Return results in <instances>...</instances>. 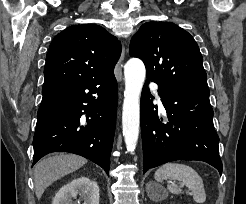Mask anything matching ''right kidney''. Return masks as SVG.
<instances>
[{
    "instance_id": "1",
    "label": "right kidney",
    "mask_w": 246,
    "mask_h": 204,
    "mask_svg": "<svg viewBox=\"0 0 246 204\" xmlns=\"http://www.w3.org/2000/svg\"><path fill=\"white\" fill-rule=\"evenodd\" d=\"M80 197L83 204H99V187L88 177H77L56 193L52 204H72V198Z\"/></svg>"
}]
</instances>
